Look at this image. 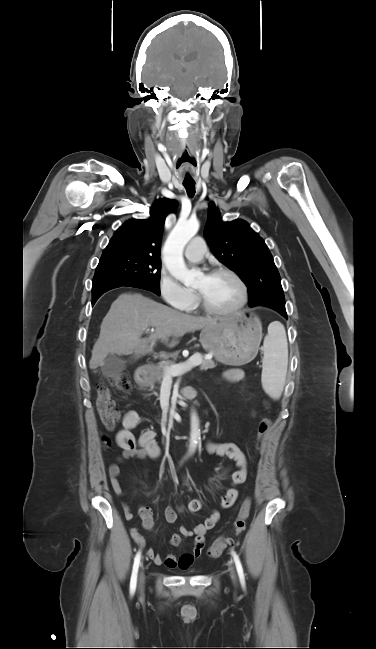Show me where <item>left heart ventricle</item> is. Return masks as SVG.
<instances>
[{"label": "left heart ventricle", "mask_w": 376, "mask_h": 649, "mask_svg": "<svg viewBox=\"0 0 376 649\" xmlns=\"http://www.w3.org/2000/svg\"><path fill=\"white\" fill-rule=\"evenodd\" d=\"M195 290L201 292L210 306L216 309H228L236 305L240 299V288L229 275H202L199 277Z\"/></svg>", "instance_id": "b2bd125f"}]
</instances>
